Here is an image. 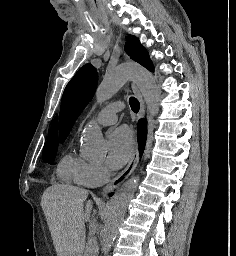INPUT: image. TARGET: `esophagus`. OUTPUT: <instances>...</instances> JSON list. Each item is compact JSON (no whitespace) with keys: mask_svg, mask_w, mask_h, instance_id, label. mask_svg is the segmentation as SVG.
I'll list each match as a JSON object with an SVG mask.
<instances>
[{"mask_svg":"<svg viewBox=\"0 0 236 256\" xmlns=\"http://www.w3.org/2000/svg\"><path fill=\"white\" fill-rule=\"evenodd\" d=\"M131 88L140 103L138 118H143L145 115V104H144L142 95L134 83H131ZM138 161H139V153H138V147L136 146V148L132 154V157H131L128 165L126 166V168L123 171H121L113 180L110 181V183H108L105 186V188L102 191V194L106 195V194L110 193L111 191H113L114 189L118 188V186L126 178H128V176L135 170V168L138 164Z\"/></svg>","mask_w":236,"mask_h":256,"instance_id":"1","label":"esophagus"}]
</instances>
